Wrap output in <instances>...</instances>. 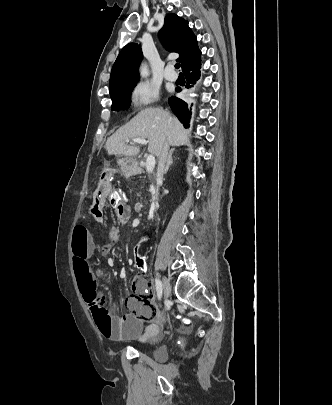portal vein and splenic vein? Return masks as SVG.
Returning a JSON list of instances; mask_svg holds the SVG:
<instances>
[{
	"label": "portal vein and splenic vein",
	"mask_w": 332,
	"mask_h": 405,
	"mask_svg": "<svg viewBox=\"0 0 332 405\" xmlns=\"http://www.w3.org/2000/svg\"><path fill=\"white\" fill-rule=\"evenodd\" d=\"M134 142L137 144H142V145H147L148 141L143 138H132V139H127L126 142ZM155 166V157L153 155H149L146 159V170L147 172L151 173L153 171V168Z\"/></svg>",
	"instance_id": "obj_1"
}]
</instances>
